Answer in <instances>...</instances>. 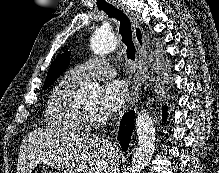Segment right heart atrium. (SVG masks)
Wrapping results in <instances>:
<instances>
[{"label":"right heart atrium","mask_w":219,"mask_h":173,"mask_svg":"<svg viewBox=\"0 0 219 173\" xmlns=\"http://www.w3.org/2000/svg\"><path fill=\"white\" fill-rule=\"evenodd\" d=\"M100 121V118L98 117V116H93L92 118H91V122L93 123V124H96V123H98Z\"/></svg>","instance_id":"d8ad5b80"}]
</instances>
